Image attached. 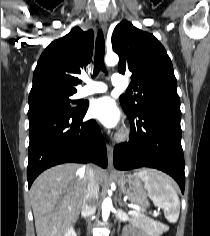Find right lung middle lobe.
Listing matches in <instances>:
<instances>
[{
    "instance_id": "1",
    "label": "right lung middle lobe",
    "mask_w": 210,
    "mask_h": 236,
    "mask_svg": "<svg viewBox=\"0 0 210 236\" xmlns=\"http://www.w3.org/2000/svg\"><path fill=\"white\" fill-rule=\"evenodd\" d=\"M73 94L75 93L48 91L37 95L32 101H29L28 117L32 118L52 111L82 112L86 106L78 105L75 108L70 106L71 103H76L75 100L70 98Z\"/></svg>"
}]
</instances>
